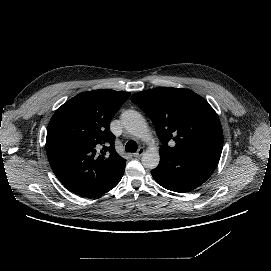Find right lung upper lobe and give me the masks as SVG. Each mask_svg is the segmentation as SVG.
<instances>
[{
	"instance_id": "right-lung-upper-lobe-1",
	"label": "right lung upper lobe",
	"mask_w": 271,
	"mask_h": 271,
	"mask_svg": "<svg viewBox=\"0 0 271 271\" xmlns=\"http://www.w3.org/2000/svg\"><path fill=\"white\" fill-rule=\"evenodd\" d=\"M129 96L111 89L83 92L52 116L46 151L53 172L71 192L97 196L122 177L126 160L115 151L109 123Z\"/></svg>"
}]
</instances>
